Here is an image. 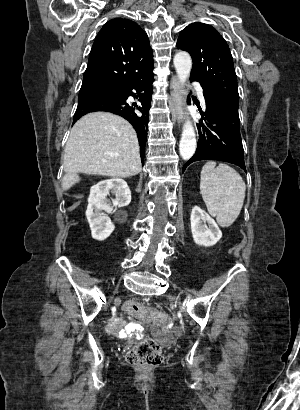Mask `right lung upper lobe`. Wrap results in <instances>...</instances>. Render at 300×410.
Masks as SVG:
<instances>
[{
    "mask_svg": "<svg viewBox=\"0 0 300 410\" xmlns=\"http://www.w3.org/2000/svg\"><path fill=\"white\" fill-rule=\"evenodd\" d=\"M153 51L147 34L134 21L115 18L93 43L83 82H102L119 88L125 81L152 73Z\"/></svg>",
    "mask_w": 300,
    "mask_h": 410,
    "instance_id": "cb5924a9",
    "label": "right lung upper lobe"
}]
</instances>
